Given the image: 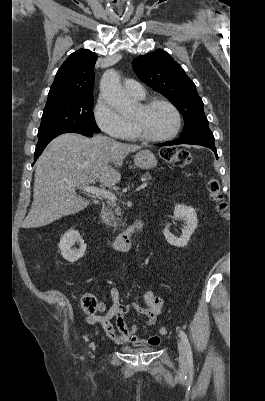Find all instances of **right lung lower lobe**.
I'll use <instances>...</instances> for the list:
<instances>
[{
    "label": "right lung lower lobe",
    "instance_id": "1",
    "mask_svg": "<svg viewBox=\"0 0 265 401\" xmlns=\"http://www.w3.org/2000/svg\"><path fill=\"white\" fill-rule=\"evenodd\" d=\"M64 133H79V134L85 135L87 137H92L93 136L92 133L82 132V131H75V130L59 129V130L52 131V132L48 133L47 135L38 138V143L36 145V150H35V154H34V161H36L38 159V157L41 155V153L43 152V150L45 149L47 144L52 139H54L58 135H61V134H64Z\"/></svg>",
    "mask_w": 265,
    "mask_h": 401
}]
</instances>
